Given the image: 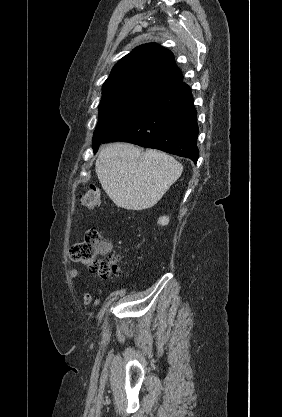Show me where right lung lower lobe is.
<instances>
[{"label": "right lung lower lobe", "mask_w": 282, "mask_h": 417, "mask_svg": "<svg viewBox=\"0 0 282 417\" xmlns=\"http://www.w3.org/2000/svg\"><path fill=\"white\" fill-rule=\"evenodd\" d=\"M196 116L191 90L180 81L160 92L150 104L102 143L130 142L190 158L196 163L199 154Z\"/></svg>", "instance_id": "right-lung-lower-lobe-1"}]
</instances>
